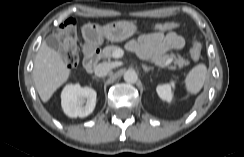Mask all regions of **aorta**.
<instances>
[{
	"label": "aorta",
	"instance_id": "aorta-1",
	"mask_svg": "<svg viewBox=\"0 0 244 157\" xmlns=\"http://www.w3.org/2000/svg\"><path fill=\"white\" fill-rule=\"evenodd\" d=\"M137 79H138L137 73L132 69H129L124 73V80L127 83H135Z\"/></svg>",
	"mask_w": 244,
	"mask_h": 157
}]
</instances>
